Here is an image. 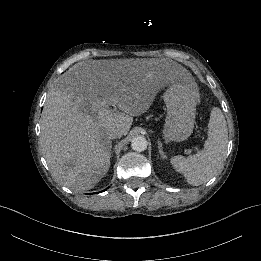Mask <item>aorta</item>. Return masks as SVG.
<instances>
[{"instance_id": "762f6f07", "label": "aorta", "mask_w": 261, "mask_h": 261, "mask_svg": "<svg viewBox=\"0 0 261 261\" xmlns=\"http://www.w3.org/2000/svg\"><path fill=\"white\" fill-rule=\"evenodd\" d=\"M147 140L144 136H136L131 141V147L134 151L142 152L147 149Z\"/></svg>"}]
</instances>
